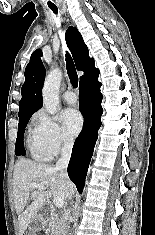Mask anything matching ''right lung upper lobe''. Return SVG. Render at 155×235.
I'll return each instance as SVG.
<instances>
[{
  "label": "right lung upper lobe",
  "instance_id": "obj_1",
  "mask_svg": "<svg viewBox=\"0 0 155 235\" xmlns=\"http://www.w3.org/2000/svg\"><path fill=\"white\" fill-rule=\"evenodd\" d=\"M65 36L76 68L85 72L80 77V83L87 78L99 74V70L95 68L94 59L89 57L88 48L77 28L70 26ZM44 78L45 68L41 60L35 59L30 61L25 69V82L21 89L22 98L19 102V118L32 115L42 107V86Z\"/></svg>",
  "mask_w": 155,
  "mask_h": 235
}]
</instances>
